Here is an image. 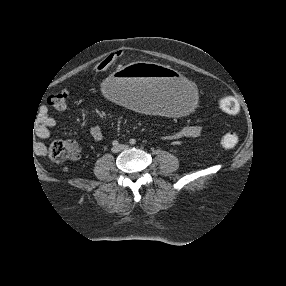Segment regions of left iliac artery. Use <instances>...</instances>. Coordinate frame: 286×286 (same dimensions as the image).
Returning a JSON list of instances; mask_svg holds the SVG:
<instances>
[{
    "label": "left iliac artery",
    "mask_w": 286,
    "mask_h": 286,
    "mask_svg": "<svg viewBox=\"0 0 286 286\" xmlns=\"http://www.w3.org/2000/svg\"><path fill=\"white\" fill-rule=\"evenodd\" d=\"M130 144H131V145L136 144V140H135V139H131V140H130Z\"/></svg>",
    "instance_id": "1"
}]
</instances>
